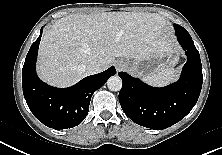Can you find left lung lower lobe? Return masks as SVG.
I'll list each match as a JSON object with an SVG mask.
<instances>
[{"label": "left lung lower lobe", "instance_id": "left-lung-lower-lobe-1", "mask_svg": "<svg viewBox=\"0 0 222 155\" xmlns=\"http://www.w3.org/2000/svg\"><path fill=\"white\" fill-rule=\"evenodd\" d=\"M178 42L188 58L179 80L161 88L119 72L123 81L119 102L135 123L162 130L184 118L196 104L203 83L202 65L194 42L185 28L174 24Z\"/></svg>", "mask_w": 222, "mask_h": 155}]
</instances>
